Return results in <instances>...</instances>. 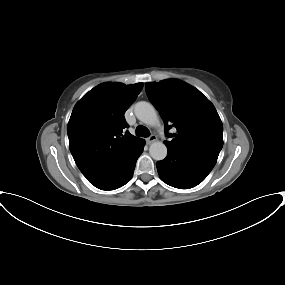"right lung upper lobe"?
Listing matches in <instances>:
<instances>
[{"label": "right lung upper lobe", "mask_w": 285, "mask_h": 285, "mask_svg": "<svg viewBox=\"0 0 285 285\" xmlns=\"http://www.w3.org/2000/svg\"><path fill=\"white\" fill-rule=\"evenodd\" d=\"M143 88L142 83H103L75 105L67 127L71 154L85 177L96 173L142 139L123 134L124 113Z\"/></svg>", "instance_id": "right-lung-upper-lobe-1"}]
</instances>
